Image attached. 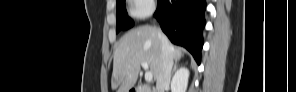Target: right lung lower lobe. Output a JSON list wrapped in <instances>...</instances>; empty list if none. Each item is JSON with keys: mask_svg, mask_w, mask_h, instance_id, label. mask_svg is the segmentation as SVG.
Returning a JSON list of instances; mask_svg holds the SVG:
<instances>
[{"mask_svg": "<svg viewBox=\"0 0 296 92\" xmlns=\"http://www.w3.org/2000/svg\"><path fill=\"white\" fill-rule=\"evenodd\" d=\"M205 7V0H158L155 12L163 32L173 43L188 49L198 64Z\"/></svg>", "mask_w": 296, "mask_h": 92, "instance_id": "obj_1", "label": "right lung lower lobe"}]
</instances>
